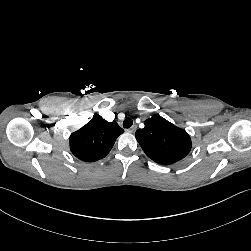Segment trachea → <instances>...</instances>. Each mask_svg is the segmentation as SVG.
<instances>
[{"mask_svg": "<svg viewBox=\"0 0 251 251\" xmlns=\"http://www.w3.org/2000/svg\"><path fill=\"white\" fill-rule=\"evenodd\" d=\"M133 125V121L131 118H126L123 122L124 128H130Z\"/></svg>", "mask_w": 251, "mask_h": 251, "instance_id": "3493384b", "label": "trachea"}]
</instances>
